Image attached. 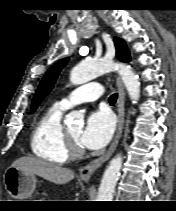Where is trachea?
<instances>
[{
	"label": "trachea",
	"mask_w": 176,
	"mask_h": 211,
	"mask_svg": "<svg viewBox=\"0 0 176 211\" xmlns=\"http://www.w3.org/2000/svg\"><path fill=\"white\" fill-rule=\"evenodd\" d=\"M116 100H117V94L115 93V94H112L111 96H110V98H109V102L111 103V104H114L115 102H116Z\"/></svg>",
	"instance_id": "3493384b"
}]
</instances>
